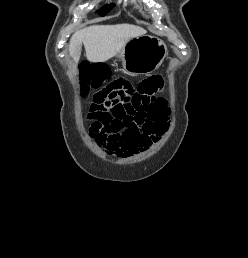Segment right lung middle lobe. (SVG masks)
I'll return each instance as SVG.
<instances>
[{
  "mask_svg": "<svg viewBox=\"0 0 248 258\" xmlns=\"http://www.w3.org/2000/svg\"><path fill=\"white\" fill-rule=\"evenodd\" d=\"M114 4H110L105 6L102 10H100V14L101 16L106 15L112 8H113Z\"/></svg>",
  "mask_w": 248,
  "mask_h": 258,
  "instance_id": "right-lung-middle-lobe-1",
  "label": "right lung middle lobe"
}]
</instances>
